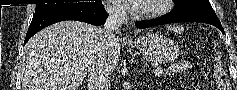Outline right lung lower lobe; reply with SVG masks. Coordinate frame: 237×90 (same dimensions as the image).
I'll return each instance as SVG.
<instances>
[{
	"mask_svg": "<svg viewBox=\"0 0 237 90\" xmlns=\"http://www.w3.org/2000/svg\"><path fill=\"white\" fill-rule=\"evenodd\" d=\"M107 14L101 1L90 4L68 5L35 13L25 37L24 44L38 31L56 22L76 20L92 25L105 23Z\"/></svg>",
	"mask_w": 237,
	"mask_h": 90,
	"instance_id": "right-lung-lower-lobe-1",
	"label": "right lung lower lobe"
}]
</instances>
